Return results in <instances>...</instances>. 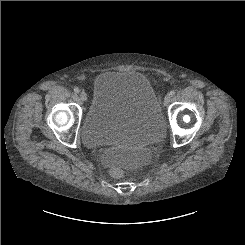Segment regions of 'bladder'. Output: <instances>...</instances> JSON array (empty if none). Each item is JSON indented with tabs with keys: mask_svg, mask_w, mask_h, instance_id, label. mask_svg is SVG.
Segmentation results:
<instances>
[{
	"mask_svg": "<svg viewBox=\"0 0 245 245\" xmlns=\"http://www.w3.org/2000/svg\"><path fill=\"white\" fill-rule=\"evenodd\" d=\"M159 98L148 78L136 71H104L93 83L92 102L81 124L84 144L135 146L164 132Z\"/></svg>",
	"mask_w": 245,
	"mask_h": 245,
	"instance_id": "obj_1",
	"label": "bladder"
}]
</instances>
